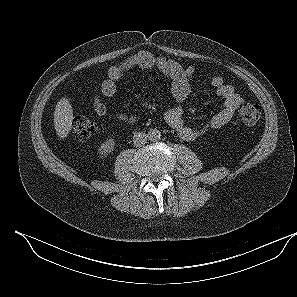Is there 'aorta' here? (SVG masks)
I'll list each match as a JSON object with an SVG mask.
<instances>
[{
	"mask_svg": "<svg viewBox=\"0 0 297 297\" xmlns=\"http://www.w3.org/2000/svg\"><path fill=\"white\" fill-rule=\"evenodd\" d=\"M161 137V132L157 128H152L148 131V138L150 141H158Z\"/></svg>",
	"mask_w": 297,
	"mask_h": 297,
	"instance_id": "obj_1",
	"label": "aorta"
}]
</instances>
